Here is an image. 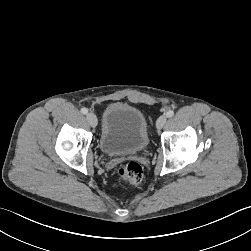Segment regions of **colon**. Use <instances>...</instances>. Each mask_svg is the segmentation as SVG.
Listing matches in <instances>:
<instances>
[{"label":"colon","instance_id":"5ec220e1","mask_svg":"<svg viewBox=\"0 0 251 251\" xmlns=\"http://www.w3.org/2000/svg\"><path fill=\"white\" fill-rule=\"evenodd\" d=\"M119 179L130 184H139L143 179V169L137 162H129L117 170Z\"/></svg>","mask_w":251,"mask_h":251}]
</instances>
